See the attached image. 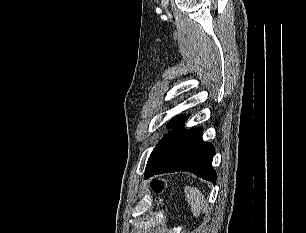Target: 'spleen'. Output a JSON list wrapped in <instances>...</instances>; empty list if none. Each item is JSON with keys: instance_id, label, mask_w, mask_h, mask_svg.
Listing matches in <instances>:
<instances>
[{"instance_id": "obj_1", "label": "spleen", "mask_w": 306, "mask_h": 233, "mask_svg": "<svg viewBox=\"0 0 306 233\" xmlns=\"http://www.w3.org/2000/svg\"><path fill=\"white\" fill-rule=\"evenodd\" d=\"M185 196L191 206L192 213L198 217L206 204L204 195L198 188L186 186Z\"/></svg>"}]
</instances>
